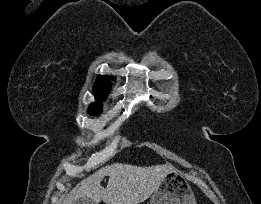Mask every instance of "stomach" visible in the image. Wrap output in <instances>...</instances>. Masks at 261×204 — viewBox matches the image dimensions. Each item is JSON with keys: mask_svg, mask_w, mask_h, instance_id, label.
Here are the masks:
<instances>
[{"mask_svg": "<svg viewBox=\"0 0 261 204\" xmlns=\"http://www.w3.org/2000/svg\"><path fill=\"white\" fill-rule=\"evenodd\" d=\"M150 204H196V199L185 177L171 171L155 189Z\"/></svg>", "mask_w": 261, "mask_h": 204, "instance_id": "obj_1", "label": "stomach"}]
</instances>
